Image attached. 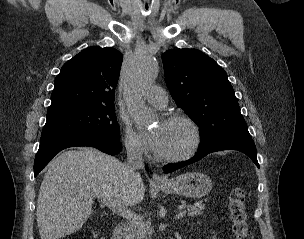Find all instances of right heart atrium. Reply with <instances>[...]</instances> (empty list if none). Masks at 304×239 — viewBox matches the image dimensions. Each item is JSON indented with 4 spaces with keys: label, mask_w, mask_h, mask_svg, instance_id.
I'll return each mask as SVG.
<instances>
[{
    "label": "right heart atrium",
    "mask_w": 304,
    "mask_h": 239,
    "mask_svg": "<svg viewBox=\"0 0 304 239\" xmlns=\"http://www.w3.org/2000/svg\"><path fill=\"white\" fill-rule=\"evenodd\" d=\"M125 146L133 155H140L143 152V146L137 134L132 129L130 123L125 121Z\"/></svg>",
    "instance_id": "d8ad5b80"
}]
</instances>
